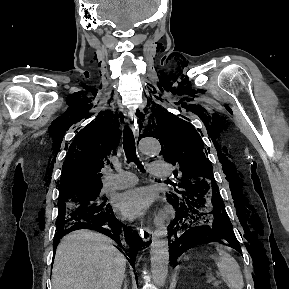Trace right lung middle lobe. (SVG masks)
Returning a JSON list of instances; mask_svg holds the SVG:
<instances>
[{"label":"right lung middle lobe","mask_w":289,"mask_h":289,"mask_svg":"<svg viewBox=\"0 0 289 289\" xmlns=\"http://www.w3.org/2000/svg\"><path fill=\"white\" fill-rule=\"evenodd\" d=\"M101 189L84 190L59 197L57 233L63 232L80 217L105 211L110 205L100 196Z\"/></svg>","instance_id":"right-lung-middle-lobe-1"}]
</instances>
